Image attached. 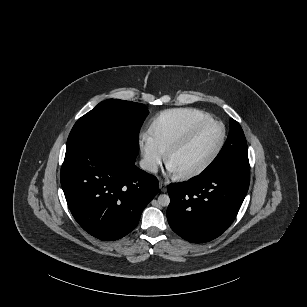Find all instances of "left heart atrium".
<instances>
[{"mask_svg": "<svg viewBox=\"0 0 307 307\" xmlns=\"http://www.w3.org/2000/svg\"><path fill=\"white\" fill-rule=\"evenodd\" d=\"M169 170H170L171 172H173L172 169H171L170 167H169Z\"/></svg>", "mask_w": 307, "mask_h": 307, "instance_id": "left-heart-atrium-1", "label": "left heart atrium"}]
</instances>
